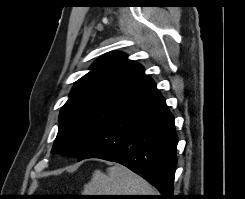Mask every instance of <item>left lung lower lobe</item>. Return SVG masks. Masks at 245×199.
<instances>
[{
	"label": "left lung lower lobe",
	"instance_id": "obj_1",
	"mask_svg": "<svg viewBox=\"0 0 245 199\" xmlns=\"http://www.w3.org/2000/svg\"><path fill=\"white\" fill-rule=\"evenodd\" d=\"M177 141L174 118L153 82L101 128L78 161L120 163L156 187L160 199H171Z\"/></svg>",
	"mask_w": 245,
	"mask_h": 199
}]
</instances>
